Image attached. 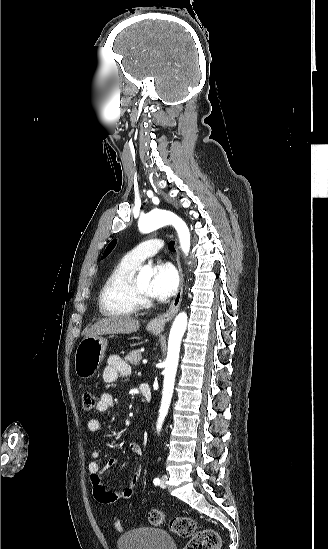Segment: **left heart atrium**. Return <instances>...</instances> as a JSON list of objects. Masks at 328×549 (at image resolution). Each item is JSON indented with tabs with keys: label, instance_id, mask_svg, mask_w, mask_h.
Wrapping results in <instances>:
<instances>
[{
	"label": "left heart atrium",
	"instance_id": "1",
	"mask_svg": "<svg viewBox=\"0 0 328 549\" xmlns=\"http://www.w3.org/2000/svg\"><path fill=\"white\" fill-rule=\"evenodd\" d=\"M179 275L170 263L156 265L151 273L149 296L164 301L172 297L179 287Z\"/></svg>",
	"mask_w": 328,
	"mask_h": 549
}]
</instances>
